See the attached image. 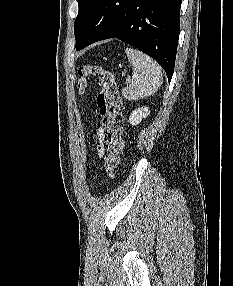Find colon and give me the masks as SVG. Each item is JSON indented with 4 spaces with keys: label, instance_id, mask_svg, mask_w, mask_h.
I'll return each instance as SVG.
<instances>
[{
    "label": "colon",
    "instance_id": "colon-1",
    "mask_svg": "<svg viewBox=\"0 0 233 286\" xmlns=\"http://www.w3.org/2000/svg\"><path fill=\"white\" fill-rule=\"evenodd\" d=\"M78 88L83 91L87 85V78H97L100 92L97 97V104L102 116V123L105 128L107 156L104 160L105 170L112 176L120 164L123 153L124 142L122 138L124 116L123 101L114 74L100 65H81L78 69Z\"/></svg>",
    "mask_w": 233,
    "mask_h": 286
}]
</instances>
